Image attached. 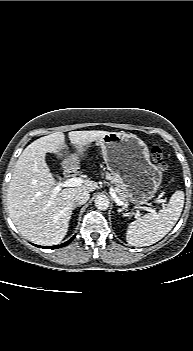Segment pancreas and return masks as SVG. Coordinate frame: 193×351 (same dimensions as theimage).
<instances>
[{"label": "pancreas", "instance_id": "1", "mask_svg": "<svg viewBox=\"0 0 193 351\" xmlns=\"http://www.w3.org/2000/svg\"><path fill=\"white\" fill-rule=\"evenodd\" d=\"M106 178L111 180V183L115 186V192L118 198L123 201L126 205L129 203L130 195L126 190L122 178L115 174L106 173Z\"/></svg>", "mask_w": 193, "mask_h": 351}]
</instances>
